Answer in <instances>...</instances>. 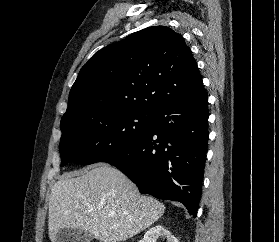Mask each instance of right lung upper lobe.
Wrapping results in <instances>:
<instances>
[{
    "mask_svg": "<svg viewBox=\"0 0 279 242\" xmlns=\"http://www.w3.org/2000/svg\"><path fill=\"white\" fill-rule=\"evenodd\" d=\"M203 89L182 36L165 26L148 27L101 49L82 67L61 125L123 110L154 113Z\"/></svg>",
    "mask_w": 279,
    "mask_h": 242,
    "instance_id": "obj_1",
    "label": "right lung upper lobe"
}]
</instances>
